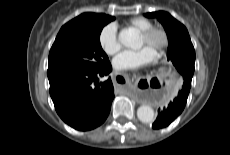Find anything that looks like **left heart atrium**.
I'll list each match as a JSON object with an SVG mask.
<instances>
[{
	"mask_svg": "<svg viewBox=\"0 0 230 155\" xmlns=\"http://www.w3.org/2000/svg\"><path fill=\"white\" fill-rule=\"evenodd\" d=\"M155 53L147 46L139 50H127L113 59V66L118 71L133 70L145 66L153 61Z\"/></svg>",
	"mask_w": 230,
	"mask_h": 155,
	"instance_id": "left-heart-atrium-1",
	"label": "left heart atrium"
}]
</instances>
